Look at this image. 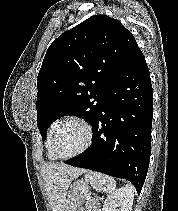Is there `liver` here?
<instances>
[{
    "label": "liver",
    "mask_w": 178,
    "mask_h": 211,
    "mask_svg": "<svg viewBox=\"0 0 178 211\" xmlns=\"http://www.w3.org/2000/svg\"><path fill=\"white\" fill-rule=\"evenodd\" d=\"M85 172V169L65 164L45 163L42 166L41 176L52 211H63L71 182Z\"/></svg>",
    "instance_id": "liver-1"
}]
</instances>
